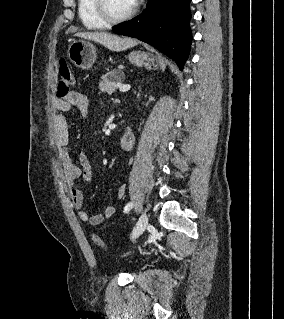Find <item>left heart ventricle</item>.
<instances>
[{
	"label": "left heart ventricle",
	"mask_w": 284,
	"mask_h": 319,
	"mask_svg": "<svg viewBox=\"0 0 284 319\" xmlns=\"http://www.w3.org/2000/svg\"><path fill=\"white\" fill-rule=\"evenodd\" d=\"M109 12L113 16H122L133 7L130 0H107Z\"/></svg>",
	"instance_id": "1"
}]
</instances>
